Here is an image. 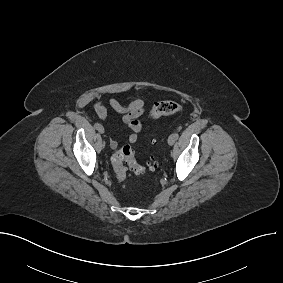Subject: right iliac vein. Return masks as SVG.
Wrapping results in <instances>:
<instances>
[{
	"label": "right iliac vein",
	"mask_w": 283,
	"mask_h": 283,
	"mask_svg": "<svg viewBox=\"0 0 283 283\" xmlns=\"http://www.w3.org/2000/svg\"><path fill=\"white\" fill-rule=\"evenodd\" d=\"M99 133L100 134H103L104 133V128L102 126H100V128L98 129Z\"/></svg>",
	"instance_id": "right-iliac-vein-1"
}]
</instances>
